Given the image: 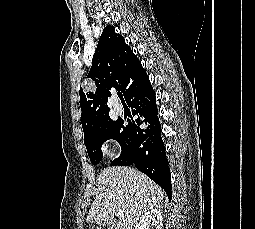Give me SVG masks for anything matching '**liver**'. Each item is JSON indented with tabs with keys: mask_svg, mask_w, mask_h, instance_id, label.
Segmentation results:
<instances>
[{
	"mask_svg": "<svg viewBox=\"0 0 255 229\" xmlns=\"http://www.w3.org/2000/svg\"><path fill=\"white\" fill-rule=\"evenodd\" d=\"M101 187L91 204L87 223L109 225L114 229H134L142 214L160 208L163 190L142 172L131 167H109L97 177ZM124 212L118 216V211ZM114 214L118 221H113Z\"/></svg>",
	"mask_w": 255,
	"mask_h": 229,
	"instance_id": "1",
	"label": "liver"
}]
</instances>
